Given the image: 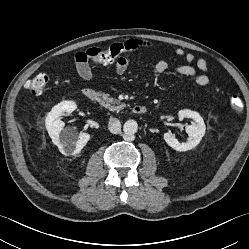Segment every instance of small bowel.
Returning <instances> with one entry per match:
<instances>
[{"label": "small bowel", "instance_id": "c3829d8e", "mask_svg": "<svg viewBox=\"0 0 249 249\" xmlns=\"http://www.w3.org/2000/svg\"><path fill=\"white\" fill-rule=\"evenodd\" d=\"M87 51L76 55V69L81 78L90 80L93 77L92 67L87 59ZM177 56L184 58L186 64L177 66L175 72L182 76L193 77L198 86L204 87L209 83L208 65L204 58L196 59L194 54L186 52L183 48L175 50ZM195 62V65L192 63ZM130 65L128 56H120L115 62V70L118 74H124ZM170 68V63L166 60H160L154 65L156 74L163 73Z\"/></svg>", "mask_w": 249, "mask_h": 249}]
</instances>
